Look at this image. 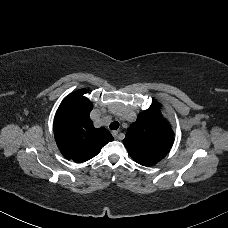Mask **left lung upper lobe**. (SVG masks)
<instances>
[{
  "label": "left lung upper lobe",
  "instance_id": "1",
  "mask_svg": "<svg viewBox=\"0 0 228 228\" xmlns=\"http://www.w3.org/2000/svg\"><path fill=\"white\" fill-rule=\"evenodd\" d=\"M173 142L174 132L163 118L158 103L138 115L123 140L133 160L144 166H151L163 159Z\"/></svg>",
  "mask_w": 228,
  "mask_h": 228
}]
</instances>
